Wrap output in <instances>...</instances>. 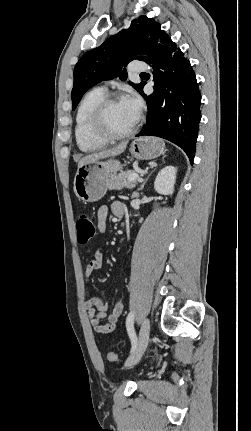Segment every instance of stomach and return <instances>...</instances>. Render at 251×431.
Instances as JSON below:
<instances>
[{
    "mask_svg": "<svg viewBox=\"0 0 251 431\" xmlns=\"http://www.w3.org/2000/svg\"><path fill=\"white\" fill-rule=\"evenodd\" d=\"M129 151L136 159L151 160L163 153L164 143L157 138L140 137L132 141ZM121 169V163L115 159L85 163L74 178L76 196L85 203L100 200L106 194L110 176Z\"/></svg>",
    "mask_w": 251,
    "mask_h": 431,
    "instance_id": "stomach-1",
    "label": "stomach"
}]
</instances>
